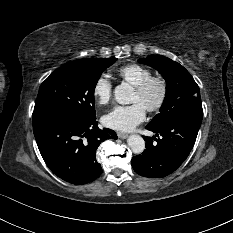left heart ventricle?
<instances>
[{"mask_svg": "<svg viewBox=\"0 0 233 233\" xmlns=\"http://www.w3.org/2000/svg\"><path fill=\"white\" fill-rule=\"evenodd\" d=\"M159 97V88L157 85L151 87V89L145 95H139L134 92L132 102L140 103L144 108L154 104Z\"/></svg>", "mask_w": 233, "mask_h": 233, "instance_id": "obj_1", "label": "left heart ventricle"}]
</instances>
